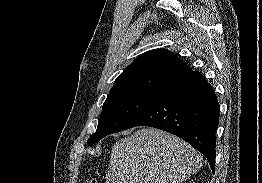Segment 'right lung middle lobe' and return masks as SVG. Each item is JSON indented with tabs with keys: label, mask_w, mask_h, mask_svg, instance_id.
Instances as JSON below:
<instances>
[{
	"label": "right lung middle lobe",
	"mask_w": 262,
	"mask_h": 183,
	"mask_svg": "<svg viewBox=\"0 0 262 183\" xmlns=\"http://www.w3.org/2000/svg\"><path fill=\"white\" fill-rule=\"evenodd\" d=\"M156 90H133L112 93L103 104L96 132L89 138V146L103 137L122 131L154 98Z\"/></svg>",
	"instance_id": "dd1d6c3e"
}]
</instances>
